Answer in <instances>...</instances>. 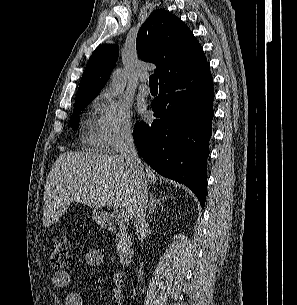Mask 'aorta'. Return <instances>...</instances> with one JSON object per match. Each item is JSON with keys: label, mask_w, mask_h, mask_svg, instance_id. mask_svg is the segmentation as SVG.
Here are the masks:
<instances>
[{"label": "aorta", "mask_w": 297, "mask_h": 305, "mask_svg": "<svg viewBox=\"0 0 297 305\" xmlns=\"http://www.w3.org/2000/svg\"><path fill=\"white\" fill-rule=\"evenodd\" d=\"M126 80L122 69H116L111 75L110 86L114 93L122 92L125 88Z\"/></svg>", "instance_id": "1"}]
</instances>
